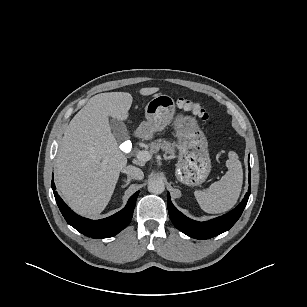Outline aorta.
<instances>
[{
    "label": "aorta",
    "mask_w": 307,
    "mask_h": 307,
    "mask_svg": "<svg viewBox=\"0 0 307 307\" xmlns=\"http://www.w3.org/2000/svg\"><path fill=\"white\" fill-rule=\"evenodd\" d=\"M165 190V184L160 179H152L148 182V191L153 194H161Z\"/></svg>",
    "instance_id": "762f6f07"
}]
</instances>
